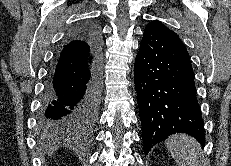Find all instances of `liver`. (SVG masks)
<instances>
[{
    "label": "liver",
    "instance_id": "liver-1",
    "mask_svg": "<svg viewBox=\"0 0 231 166\" xmlns=\"http://www.w3.org/2000/svg\"><path fill=\"white\" fill-rule=\"evenodd\" d=\"M54 150H55V149H52V151H50V153H53Z\"/></svg>",
    "mask_w": 231,
    "mask_h": 166
}]
</instances>
